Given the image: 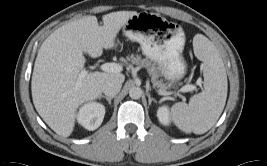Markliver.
Returning <instances> with one entry per match:
<instances>
[{
	"instance_id": "liver-1",
	"label": "liver",
	"mask_w": 267,
	"mask_h": 166,
	"mask_svg": "<svg viewBox=\"0 0 267 166\" xmlns=\"http://www.w3.org/2000/svg\"><path fill=\"white\" fill-rule=\"evenodd\" d=\"M137 14L135 11L111 12L102 17L86 16L65 24L42 43L33 69L31 91L38 114L58 135L68 137L74 130L79 106L102 96V86L108 79L124 81L121 73L84 71L83 53L100 57L103 49H111L120 29Z\"/></svg>"
}]
</instances>
